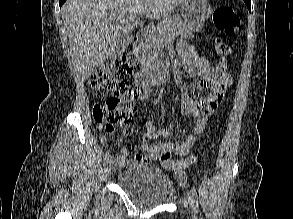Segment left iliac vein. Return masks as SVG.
Returning <instances> with one entry per match:
<instances>
[{
  "instance_id": "left-iliac-vein-1",
  "label": "left iliac vein",
  "mask_w": 293,
  "mask_h": 219,
  "mask_svg": "<svg viewBox=\"0 0 293 219\" xmlns=\"http://www.w3.org/2000/svg\"><path fill=\"white\" fill-rule=\"evenodd\" d=\"M187 199L190 205L192 219H198V216H197L198 211H197L195 199L191 193L188 194Z\"/></svg>"
}]
</instances>
